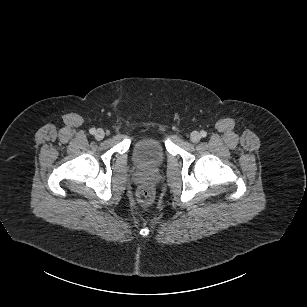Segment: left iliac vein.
<instances>
[{
  "label": "left iliac vein",
  "instance_id": "4c4485c4",
  "mask_svg": "<svg viewBox=\"0 0 307 307\" xmlns=\"http://www.w3.org/2000/svg\"><path fill=\"white\" fill-rule=\"evenodd\" d=\"M190 139H191V141H192L193 143H197V142L200 141L201 135H200L199 132L193 131V132L191 133V135H190Z\"/></svg>",
  "mask_w": 307,
  "mask_h": 307
}]
</instances>
